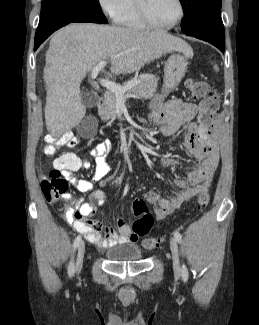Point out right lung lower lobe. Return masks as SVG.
<instances>
[{"instance_id": "98d812e1", "label": "right lung lower lobe", "mask_w": 259, "mask_h": 325, "mask_svg": "<svg viewBox=\"0 0 259 325\" xmlns=\"http://www.w3.org/2000/svg\"><path fill=\"white\" fill-rule=\"evenodd\" d=\"M72 23L71 21H64V22H60L57 23L53 26H51L49 29L45 30L43 33H41L40 35H35V45H34V50H36L39 45L44 42L54 31H56L57 29Z\"/></svg>"}]
</instances>
